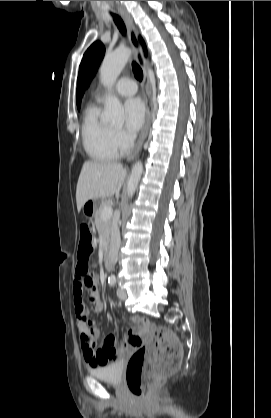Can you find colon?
<instances>
[{
	"label": "colon",
	"instance_id": "colon-1",
	"mask_svg": "<svg viewBox=\"0 0 271 418\" xmlns=\"http://www.w3.org/2000/svg\"><path fill=\"white\" fill-rule=\"evenodd\" d=\"M93 250L91 229L82 223L79 226V260H89ZM141 322L147 326L144 320ZM181 358V345L170 330L162 327L149 329L145 345L130 357L127 364L126 382L130 392L136 397L145 395L151 384L177 371Z\"/></svg>",
	"mask_w": 271,
	"mask_h": 418
}]
</instances>
